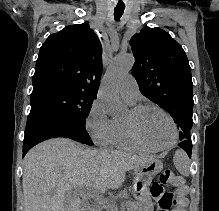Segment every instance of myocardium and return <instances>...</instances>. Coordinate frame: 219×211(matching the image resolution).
Listing matches in <instances>:
<instances>
[{
    "instance_id": "f54148a6",
    "label": "myocardium",
    "mask_w": 219,
    "mask_h": 211,
    "mask_svg": "<svg viewBox=\"0 0 219 211\" xmlns=\"http://www.w3.org/2000/svg\"><path fill=\"white\" fill-rule=\"evenodd\" d=\"M157 109L160 112H162L171 122L172 128H173V133H174V138L173 141L166 145V146H156L151 144L149 141L145 139V137L142 135L140 132L137 123H136V116L139 115L142 111L146 109ZM131 116L125 120V124L127 126V129L130 133V135L133 137V139L138 142L139 144L155 151H163V150H168L174 147L178 141V127L176 124V121L174 120L173 116L162 106L153 104V103H143V104H138L132 107L130 111Z\"/></svg>"
}]
</instances>
